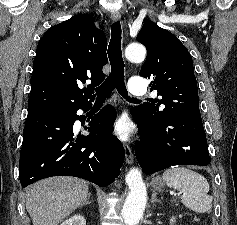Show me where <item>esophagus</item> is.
<instances>
[{
  "label": "esophagus",
  "mask_w": 237,
  "mask_h": 225,
  "mask_svg": "<svg viewBox=\"0 0 237 225\" xmlns=\"http://www.w3.org/2000/svg\"><path fill=\"white\" fill-rule=\"evenodd\" d=\"M121 18V14L119 12H112L111 19L113 21H118ZM124 151H125V159L128 164H133L134 156L130 146L127 143H123Z\"/></svg>",
  "instance_id": "34e87169"
}]
</instances>
